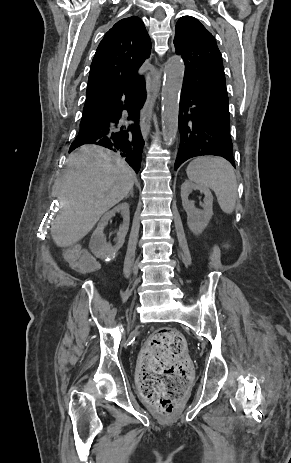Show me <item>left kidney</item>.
<instances>
[{
  "mask_svg": "<svg viewBox=\"0 0 291 463\" xmlns=\"http://www.w3.org/2000/svg\"><path fill=\"white\" fill-rule=\"evenodd\" d=\"M193 190H199L204 194L203 209L199 210L194 206V203L188 199L189 194ZM181 199L184 210L188 215V227L195 235H199L209 224L213 215V196L209 189L199 185H195L190 181H185L181 186Z\"/></svg>",
  "mask_w": 291,
  "mask_h": 463,
  "instance_id": "obj_1",
  "label": "left kidney"
}]
</instances>
